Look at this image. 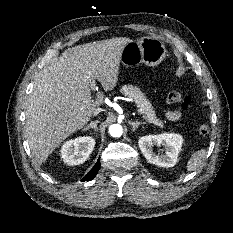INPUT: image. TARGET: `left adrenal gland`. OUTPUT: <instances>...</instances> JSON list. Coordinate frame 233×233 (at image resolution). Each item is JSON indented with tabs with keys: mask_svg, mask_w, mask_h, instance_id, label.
<instances>
[{
	"mask_svg": "<svg viewBox=\"0 0 233 233\" xmlns=\"http://www.w3.org/2000/svg\"><path fill=\"white\" fill-rule=\"evenodd\" d=\"M129 124L132 125V130L135 131L139 125L145 124V122L129 121Z\"/></svg>",
	"mask_w": 233,
	"mask_h": 233,
	"instance_id": "obj_1",
	"label": "left adrenal gland"
}]
</instances>
